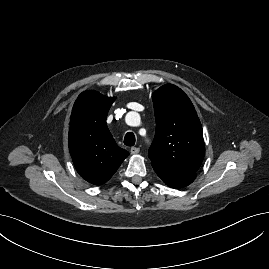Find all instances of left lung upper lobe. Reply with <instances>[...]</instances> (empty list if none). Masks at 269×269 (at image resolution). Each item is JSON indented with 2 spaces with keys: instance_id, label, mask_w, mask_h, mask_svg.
Returning <instances> with one entry per match:
<instances>
[{
  "instance_id": "5c2ea615",
  "label": "left lung upper lobe",
  "mask_w": 269,
  "mask_h": 269,
  "mask_svg": "<svg viewBox=\"0 0 269 269\" xmlns=\"http://www.w3.org/2000/svg\"><path fill=\"white\" fill-rule=\"evenodd\" d=\"M156 132L149 149L153 165L196 173L205 155L203 130L188 96L167 84L153 94Z\"/></svg>"
}]
</instances>
